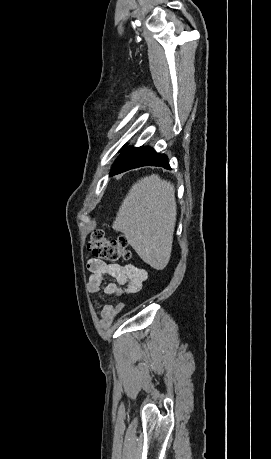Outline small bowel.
<instances>
[{"label":"small bowel","instance_id":"1","mask_svg":"<svg viewBox=\"0 0 271 459\" xmlns=\"http://www.w3.org/2000/svg\"><path fill=\"white\" fill-rule=\"evenodd\" d=\"M87 267L91 272L87 287L92 293L113 297L131 295L138 292L147 279L146 270L132 264H109L93 258L89 260ZM105 279H112L114 282L102 287ZM124 308L125 303L121 300L115 304L105 305L101 312L102 326H109Z\"/></svg>","mask_w":271,"mask_h":459}]
</instances>
